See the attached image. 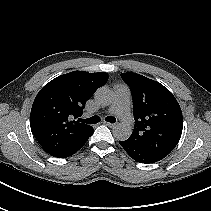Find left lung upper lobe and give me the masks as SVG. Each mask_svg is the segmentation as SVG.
<instances>
[{"instance_id": "left-lung-upper-lobe-1", "label": "left lung upper lobe", "mask_w": 211, "mask_h": 211, "mask_svg": "<svg viewBox=\"0 0 211 211\" xmlns=\"http://www.w3.org/2000/svg\"><path fill=\"white\" fill-rule=\"evenodd\" d=\"M131 89L135 128L127 139L132 145L160 158L178 144L183 117L173 94L157 81L137 73H122Z\"/></svg>"}]
</instances>
